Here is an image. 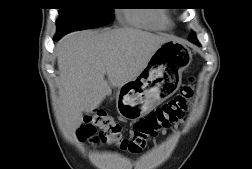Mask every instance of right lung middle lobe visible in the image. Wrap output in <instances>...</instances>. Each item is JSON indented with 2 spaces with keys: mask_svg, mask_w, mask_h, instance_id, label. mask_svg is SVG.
<instances>
[{
  "mask_svg": "<svg viewBox=\"0 0 252 169\" xmlns=\"http://www.w3.org/2000/svg\"><path fill=\"white\" fill-rule=\"evenodd\" d=\"M60 4L57 33L100 27L113 21L110 0H61Z\"/></svg>",
  "mask_w": 252,
  "mask_h": 169,
  "instance_id": "1",
  "label": "right lung middle lobe"
}]
</instances>
